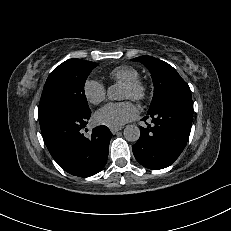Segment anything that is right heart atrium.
Listing matches in <instances>:
<instances>
[{
    "label": "right heart atrium",
    "mask_w": 231,
    "mask_h": 231,
    "mask_svg": "<svg viewBox=\"0 0 231 231\" xmlns=\"http://www.w3.org/2000/svg\"><path fill=\"white\" fill-rule=\"evenodd\" d=\"M83 94L87 101L94 105H98L106 99L105 86L96 79H88L85 81Z\"/></svg>",
    "instance_id": "right-heart-atrium-1"
}]
</instances>
